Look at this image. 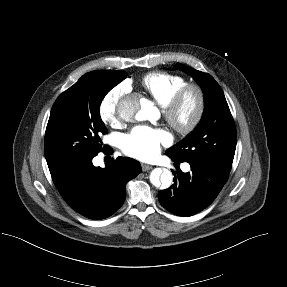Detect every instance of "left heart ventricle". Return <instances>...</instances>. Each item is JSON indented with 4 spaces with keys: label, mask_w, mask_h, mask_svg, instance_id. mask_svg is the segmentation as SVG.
I'll use <instances>...</instances> for the list:
<instances>
[{
    "label": "left heart ventricle",
    "mask_w": 287,
    "mask_h": 287,
    "mask_svg": "<svg viewBox=\"0 0 287 287\" xmlns=\"http://www.w3.org/2000/svg\"><path fill=\"white\" fill-rule=\"evenodd\" d=\"M194 110H195V100L194 98H189L180 113V119L182 121H187L193 115Z\"/></svg>",
    "instance_id": "obj_1"
}]
</instances>
